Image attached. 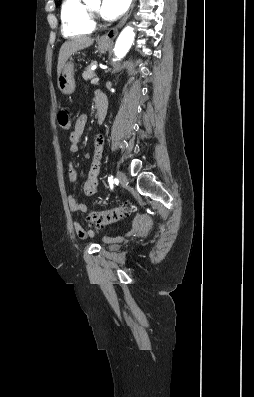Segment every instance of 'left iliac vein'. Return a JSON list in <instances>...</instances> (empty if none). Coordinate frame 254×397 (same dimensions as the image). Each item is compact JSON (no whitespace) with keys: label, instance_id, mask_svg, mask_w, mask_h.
<instances>
[{"label":"left iliac vein","instance_id":"left-iliac-vein-1","mask_svg":"<svg viewBox=\"0 0 254 397\" xmlns=\"http://www.w3.org/2000/svg\"><path fill=\"white\" fill-rule=\"evenodd\" d=\"M116 175H117V178L120 181L122 186L127 185L128 180H127V176L125 175V173H123L122 171H117Z\"/></svg>","mask_w":254,"mask_h":397}]
</instances>
